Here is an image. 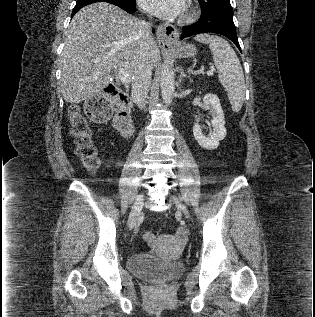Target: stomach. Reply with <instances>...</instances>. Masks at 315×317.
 <instances>
[{"instance_id":"0dacf381","label":"stomach","mask_w":315,"mask_h":317,"mask_svg":"<svg viewBox=\"0 0 315 317\" xmlns=\"http://www.w3.org/2000/svg\"><path fill=\"white\" fill-rule=\"evenodd\" d=\"M175 50L178 57H181V58H191L197 54L196 46L190 43L176 45Z\"/></svg>"}]
</instances>
